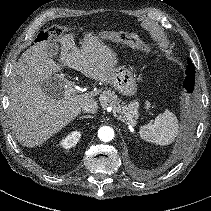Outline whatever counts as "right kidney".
I'll return each instance as SVG.
<instances>
[{
    "mask_svg": "<svg viewBox=\"0 0 211 211\" xmlns=\"http://www.w3.org/2000/svg\"><path fill=\"white\" fill-rule=\"evenodd\" d=\"M80 137H81L80 132L74 131L60 141V146H62L65 149H70L78 143Z\"/></svg>",
    "mask_w": 211,
    "mask_h": 211,
    "instance_id": "ca27d5eb",
    "label": "right kidney"
}]
</instances>
